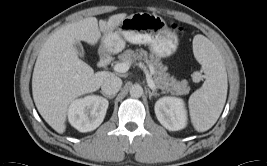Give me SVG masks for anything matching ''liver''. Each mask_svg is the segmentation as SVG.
<instances>
[{
  "label": "liver",
  "mask_w": 267,
  "mask_h": 166,
  "mask_svg": "<svg viewBox=\"0 0 267 166\" xmlns=\"http://www.w3.org/2000/svg\"><path fill=\"white\" fill-rule=\"evenodd\" d=\"M126 16L115 14L99 25L95 17L84 18L62 27L42 46L33 71L32 94L40 115L56 132H65L70 104L79 96L97 91L113 75L107 71L94 73L79 59L74 44L85 41L95 45L101 33L113 31Z\"/></svg>",
  "instance_id": "1"
}]
</instances>
